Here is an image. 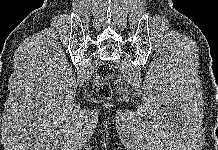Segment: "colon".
Segmentation results:
<instances>
[{
	"label": "colon",
	"instance_id": "5ec220e1",
	"mask_svg": "<svg viewBox=\"0 0 218 150\" xmlns=\"http://www.w3.org/2000/svg\"><path fill=\"white\" fill-rule=\"evenodd\" d=\"M112 75L113 68L110 64L101 63L97 67L94 80V92L98 97L108 99L111 96V87L108 80Z\"/></svg>",
	"mask_w": 218,
	"mask_h": 150
}]
</instances>
